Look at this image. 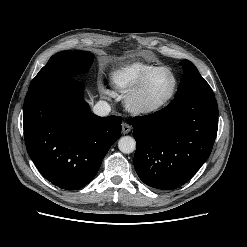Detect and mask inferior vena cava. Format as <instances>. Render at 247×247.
<instances>
[{"label": "inferior vena cava", "mask_w": 247, "mask_h": 247, "mask_svg": "<svg viewBox=\"0 0 247 247\" xmlns=\"http://www.w3.org/2000/svg\"><path fill=\"white\" fill-rule=\"evenodd\" d=\"M110 111L111 107L106 101H99L93 107V112L98 116H107Z\"/></svg>", "instance_id": "obj_1"}]
</instances>
